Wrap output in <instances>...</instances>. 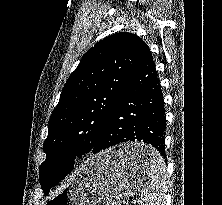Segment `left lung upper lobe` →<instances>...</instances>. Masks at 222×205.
<instances>
[{
    "label": "left lung upper lobe",
    "instance_id": "left-lung-upper-lobe-1",
    "mask_svg": "<svg viewBox=\"0 0 222 205\" xmlns=\"http://www.w3.org/2000/svg\"><path fill=\"white\" fill-rule=\"evenodd\" d=\"M146 47L138 36L123 32L104 38L83 56L49 120L46 159L39 167L45 194L66 175L56 168L61 155L81 156L94 147Z\"/></svg>",
    "mask_w": 222,
    "mask_h": 205
}]
</instances>
